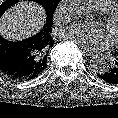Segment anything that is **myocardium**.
Instances as JSON below:
<instances>
[{
  "instance_id": "f54148a6",
  "label": "myocardium",
  "mask_w": 118,
  "mask_h": 118,
  "mask_svg": "<svg viewBox=\"0 0 118 118\" xmlns=\"http://www.w3.org/2000/svg\"><path fill=\"white\" fill-rule=\"evenodd\" d=\"M104 20L108 26H113L118 23V6L107 11L104 14ZM113 43L118 45V36L114 38Z\"/></svg>"
}]
</instances>
